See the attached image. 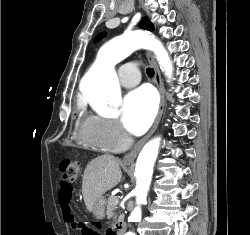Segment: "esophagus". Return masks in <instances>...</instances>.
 <instances>
[{
  "instance_id": "34e87169",
  "label": "esophagus",
  "mask_w": 250,
  "mask_h": 235,
  "mask_svg": "<svg viewBox=\"0 0 250 235\" xmlns=\"http://www.w3.org/2000/svg\"><path fill=\"white\" fill-rule=\"evenodd\" d=\"M147 59L155 71L154 82H155V84L159 90V93H160L159 110H158L157 116L155 118V121H154L151 129L147 133V135L144 138H142L127 155L124 156V158H123L124 163H132L135 160V158L137 157V155L140 152L143 145L146 143V141L152 136V134L157 129L158 124L160 122V119L162 117L163 111H164L166 97H165V91H164V87H163V83H162V79H161L160 70H159V67L157 65V62H156L154 56L149 52L147 53Z\"/></svg>"
}]
</instances>
